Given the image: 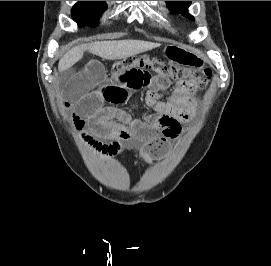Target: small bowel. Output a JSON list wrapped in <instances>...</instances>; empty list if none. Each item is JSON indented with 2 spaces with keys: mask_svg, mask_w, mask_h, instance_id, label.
I'll use <instances>...</instances> for the list:
<instances>
[{
  "mask_svg": "<svg viewBox=\"0 0 271 266\" xmlns=\"http://www.w3.org/2000/svg\"><path fill=\"white\" fill-rule=\"evenodd\" d=\"M138 90H147L146 103L155 111L145 119L132 118L119 107ZM62 97L88 146L113 156L124 142H135L145 148V162L160 156L166 142L179 135L182 123L190 121L197 110L192 92L180 85L170 89L166 76L138 66L107 75L95 60L68 71ZM103 138L109 142H102Z\"/></svg>",
  "mask_w": 271,
  "mask_h": 266,
  "instance_id": "small-bowel-1",
  "label": "small bowel"
}]
</instances>
